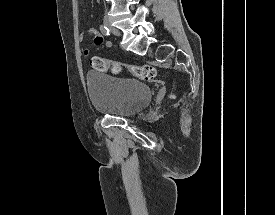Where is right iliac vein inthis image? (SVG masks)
<instances>
[{
  "label": "right iliac vein",
  "instance_id": "1",
  "mask_svg": "<svg viewBox=\"0 0 275 215\" xmlns=\"http://www.w3.org/2000/svg\"><path fill=\"white\" fill-rule=\"evenodd\" d=\"M104 23L113 31V33L119 35L118 30H116L114 27H112L111 22L108 17L104 18Z\"/></svg>",
  "mask_w": 275,
  "mask_h": 215
}]
</instances>
